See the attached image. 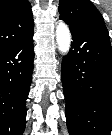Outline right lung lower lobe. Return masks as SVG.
Wrapping results in <instances>:
<instances>
[{"mask_svg": "<svg viewBox=\"0 0 112 135\" xmlns=\"http://www.w3.org/2000/svg\"><path fill=\"white\" fill-rule=\"evenodd\" d=\"M33 61V31L0 52V135L24 132Z\"/></svg>", "mask_w": 112, "mask_h": 135, "instance_id": "1", "label": "right lung lower lobe"}]
</instances>
